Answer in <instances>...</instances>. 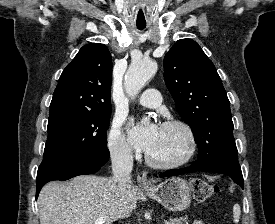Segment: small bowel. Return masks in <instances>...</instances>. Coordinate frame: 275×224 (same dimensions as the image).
Returning <instances> with one entry per match:
<instances>
[{"label": "small bowel", "instance_id": "obj_1", "mask_svg": "<svg viewBox=\"0 0 275 224\" xmlns=\"http://www.w3.org/2000/svg\"><path fill=\"white\" fill-rule=\"evenodd\" d=\"M193 224H204L202 221H195Z\"/></svg>", "mask_w": 275, "mask_h": 224}]
</instances>
